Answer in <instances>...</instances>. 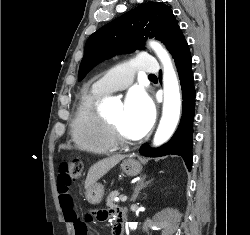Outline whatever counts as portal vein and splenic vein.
<instances>
[{"mask_svg":"<svg viewBox=\"0 0 250 235\" xmlns=\"http://www.w3.org/2000/svg\"><path fill=\"white\" fill-rule=\"evenodd\" d=\"M114 200H115L116 202H118V201H119V198H115ZM126 200H127V196H126V195L122 196L121 201H122V202H126Z\"/></svg>","mask_w":250,"mask_h":235,"instance_id":"18ae733b","label":"portal vein and splenic vein"}]
</instances>
